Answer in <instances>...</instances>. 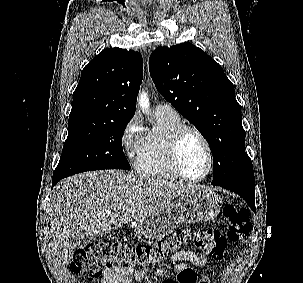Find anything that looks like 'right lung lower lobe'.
Wrapping results in <instances>:
<instances>
[{"instance_id":"1","label":"right lung lower lobe","mask_w":303,"mask_h":283,"mask_svg":"<svg viewBox=\"0 0 303 283\" xmlns=\"http://www.w3.org/2000/svg\"><path fill=\"white\" fill-rule=\"evenodd\" d=\"M64 178L62 175H53L52 178V186L56 185L59 180Z\"/></svg>"}]
</instances>
